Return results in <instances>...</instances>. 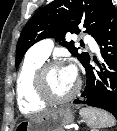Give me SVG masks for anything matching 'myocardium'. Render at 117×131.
I'll return each instance as SVG.
<instances>
[{"label": "myocardium", "instance_id": "1", "mask_svg": "<svg viewBox=\"0 0 117 131\" xmlns=\"http://www.w3.org/2000/svg\"><path fill=\"white\" fill-rule=\"evenodd\" d=\"M60 66H63V63L60 61H48L46 63H43L36 71L34 79L35 93L40 100L47 104H64L70 102L80 92L81 81L78 79L75 88L70 94L64 97H56L50 93L47 85L46 74L49 70Z\"/></svg>", "mask_w": 117, "mask_h": 131}]
</instances>
